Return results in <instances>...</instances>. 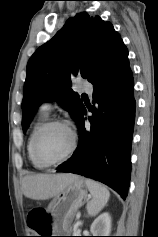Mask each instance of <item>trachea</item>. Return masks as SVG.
I'll use <instances>...</instances> for the list:
<instances>
[{
	"label": "trachea",
	"mask_w": 158,
	"mask_h": 237,
	"mask_svg": "<svg viewBox=\"0 0 158 237\" xmlns=\"http://www.w3.org/2000/svg\"><path fill=\"white\" fill-rule=\"evenodd\" d=\"M82 96H83V97H87V95H86V94H82Z\"/></svg>",
	"instance_id": "1"
}]
</instances>
